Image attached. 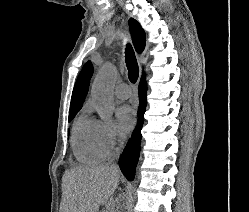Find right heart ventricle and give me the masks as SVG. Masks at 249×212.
<instances>
[{"label": "right heart ventricle", "instance_id": "obj_1", "mask_svg": "<svg viewBox=\"0 0 249 212\" xmlns=\"http://www.w3.org/2000/svg\"><path fill=\"white\" fill-rule=\"evenodd\" d=\"M97 122L85 115L77 117L71 131V148L74 157L82 163L101 161V153L97 144Z\"/></svg>", "mask_w": 249, "mask_h": 212}]
</instances>
